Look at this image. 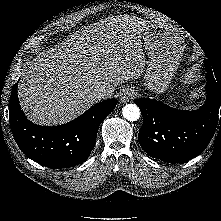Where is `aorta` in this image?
<instances>
[{"label":"aorta","mask_w":221,"mask_h":221,"mask_svg":"<svg viewBox=\"0 0 221 221\" xmlns=\"http://www.w3.org/2000/svg\"><path fill=\"white\" fill-rule=\"evenodd\" d=\"M123 117L128 121H137L140 117V109L135 104H126L122 110Z\"/></svg>","instance_id":"aorta-1"}]
</instances>
